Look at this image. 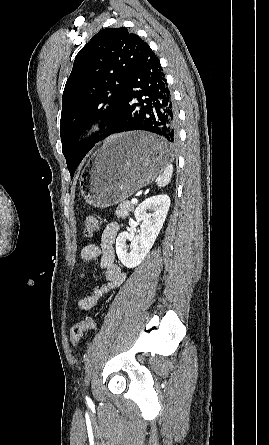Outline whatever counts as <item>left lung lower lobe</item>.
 <instances>
[{
  "label": "left lung lower lobe",
  "mask_w": 269,
  "mask_h": 445,
  "mask_svg": "<svg viewBox=\"0 0 269 445\" xmlns=\"http://www.w3.org/2000/svg\"><path fill=\"white\" fill-rule=\"evenodd\" d=\"M132 130L161 136L164 147L160 144L149 147L154 152L164 148L171 152L177 141L178 117L173 97L160 61L149 46L128 81L120 118L101 139Z\"/></svg>",
  "instance_id": "0a47b994"
}]
</instances>
